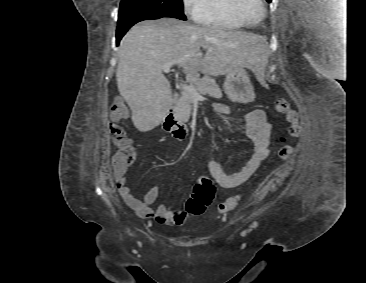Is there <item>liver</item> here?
<instances>
[{
	"label": "liver",
	"mask_w": 366,
	"mask_h": 283,
	"mask_svg": "<svg viewBox=\"0 0 366 283\" xmlns=\"http://www.w3.org/2000/svg\"><path fill=\"white\" fill-rule=\"evenodd\" d=\"M263 38L244 31L202 27L176 18L134 25L119 47L116 71L120 95L132 111L134 126L147 132L159 126L172 102L162 66L178 61L187 75L219 76L248 68L263 78ZM206 49L203 56L201 49Z\"/></svg>",
	"instance_id": "obj_1"
}]
</instances>
